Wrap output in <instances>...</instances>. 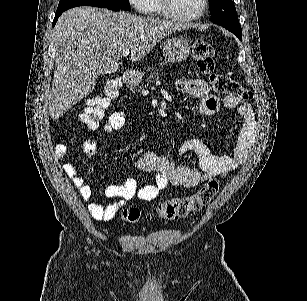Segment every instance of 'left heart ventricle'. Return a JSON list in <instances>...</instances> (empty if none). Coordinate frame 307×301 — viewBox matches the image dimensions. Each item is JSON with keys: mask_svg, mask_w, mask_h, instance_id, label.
Masks as SVG:
<instances>
[{"mask_svg": "<svg viewBox=\"0 0 307 301\" xmlns=\"http://www.w3.org/2000/svg\"><path fill=\"white\" fill-rule=\"evenodd\" d=\"M171 6V13H189L190 11H197L199 9L200 0H173Z\"/></svg>", "mask_w": 307, "mask_h": 301, "instance_id": "1", "label": "left heart ventricle"}]
</instances>
